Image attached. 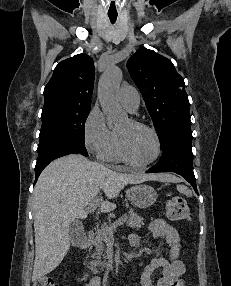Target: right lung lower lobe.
<instances>
[{"label":"right lung lower lobe","instance_id":"right-lung-lower-lobe-1","mask_svg":"<svg viewBox=\"0 0 231 286\" xmlns=\"http://www.w3.org/2000/svg\"><path fill=\"white\" fill-rule=\"evenodd\" d=\"M73 153L88 156L84 143L74 140H58L38 149V159L35 166V182L42 170L52 160Z\"/></svg>","mask_w":231,"mask_h":286}]
</instances>
